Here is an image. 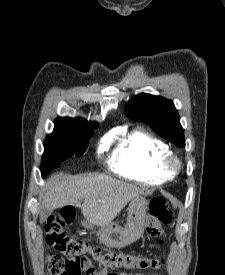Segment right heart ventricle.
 Returning a JSON list of instances; mask_svg holds the SVG:
<instances>
[{"label":"right heart ventricle","mask_w":225,"mask_h":275,"mask_svg":"<svg viewBox=\"0 0 225 275\" xmlns=\"http://www.w3.org/2000/svg\"><path fill=\"white\" fill-rule=\"evenodd\" d=\"M115 138L118 142L109 159L114 173L143 185H158L173 178L164 165L171 152L164 141L142 129Z\"/></svg>","instance_id":"1"}]
</instances>
